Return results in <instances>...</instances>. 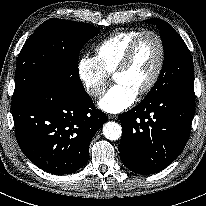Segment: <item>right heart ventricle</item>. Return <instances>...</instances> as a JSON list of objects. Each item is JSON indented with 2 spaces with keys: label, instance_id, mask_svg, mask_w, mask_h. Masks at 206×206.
I'll list each match as a JSON object with an SVG mask.
<instances>
[{
  "label": "right heart ventricle",
  "instance_id": "obj_1",
  "mask_svg": "<svg viewBox=\"0 0 206 206\" xmlns=\"http://www.w3.org/2000/svg\"><path fill=\"white\" fill-rule=\"evenodd\" d=\"M142 30H126L103 40L96 48V58L106 74L114 73L132 40Z\"/></svg>",
  "mask_w": 206,
  "mask_h": 206
}]
</instances>
